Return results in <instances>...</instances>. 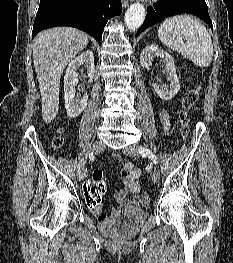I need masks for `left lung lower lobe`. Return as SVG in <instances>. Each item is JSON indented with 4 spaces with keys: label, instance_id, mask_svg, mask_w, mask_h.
Masks as SVG:
<instances>
[{
    "label": "left lung lower lobe",
    "instance_id": "left-lung-lower-lobe-1",
    "mask_svg": "<svg viewBox=\"0 0 233 263\" xmlns=\"http://www.w3.org/2000/svg\"><path fill=\"white\" fill-rule=\"evenodd\" d=\"M183 13L194 14L213 28L205 0H160L153 7L148 8L145 21L138 30L136 37L166 17Z\"/></svg>",
    "mask_w": 233,
    "mask_h": 263
}]
</instances>
